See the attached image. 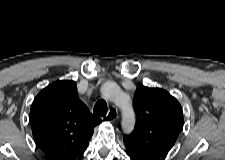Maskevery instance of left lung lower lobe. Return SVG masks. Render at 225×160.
<instances>
[{
	"label": "left lung lower lobe",
	"instance_id": "left-lung-lower-lobe-1",
	"mask_svg": "<svg viewBox=\"0 0 225 160\" xmlns=\"http://www.w3.org/2000/svg\"><path fill=\"white\" fill-rule=\"evenodd\" d=\"M126 154L128 156V159L130 160H143L142 158L132 154L129 150L126 149Z\"/></svg>",
	"mask_w": 225,
	"mask_h": 160
}]
</instances>
